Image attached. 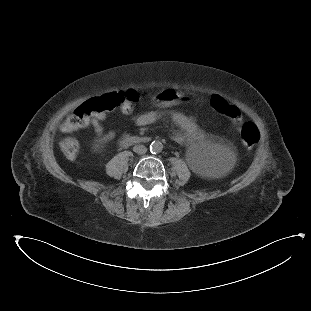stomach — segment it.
<instances>
[{
    "label": "stomach",
    "instance_id": "0dacf381",
    "mask_svg": "<svg viewBox=\"0 0 311 311\" xmlns=\"http://www.w3.org/2000/svg\"><path fill=\"white\" fill-rule=\"evenodd\" d=\"M155 99L159 104H168V105L172 104L175 101V97L163 98L162 95H157Z\"/></svg>",
    "mask_w": 311,
    "mask_h": 311
}]
</instances>
